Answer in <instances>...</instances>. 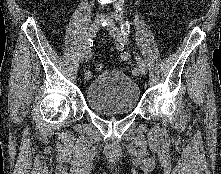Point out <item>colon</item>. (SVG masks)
Listing matches in <instances>:
<instances>
[{
    "label": "colon",
    "mask_w": 221,
    "mask_h": 174,
    "mask_svg": "<svg viewBox=\"0 0 221 174\" xmlns=\"http://www.w3.org/2000/svg\"><path fill=\"white\" fill-rule=\"evenodd\" d=\"M104 69V65L103 64H97L95 66V70L98 72H101Z\"/></svg>",
    "instance_id": "5ec220e1"
}]
</instances>
